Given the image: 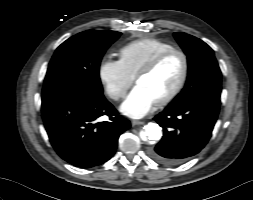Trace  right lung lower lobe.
<instances>
[{"label": "right lung lower lobe", "instance_id": "98d812e1", "mask_svg": "<svg viewBox=\"0 0 253 200\" xmlns=\"http://www.w3.org/2000/svg\"><path fill=\"white\" fill-rule=\"evenodd\" d=\"M103 115L110 122H97ZM42 117L50 142L68 163L90 168L109 160L120 134L130 127L104 97L71 92L42 94Z\"/></svg>", "mask_w": 253, "mask_h": 200}]
</instances>
